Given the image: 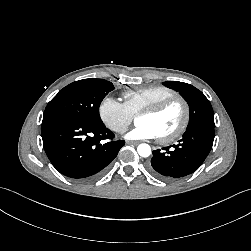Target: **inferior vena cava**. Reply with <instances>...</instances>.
<instances>
[{
    "mask_svg": "<svg viewBox=\"0 0 251 251\" xmlns=\"http://www.w3.org/2000/svg\"><path fill=\"white\" fill-rule=\"evenodd\" d=\"M126 131V129H123V132H125Z\"/></svg>",
    "mask_w": 251,
    "mask_h": 251,
    "instance_id": "602c4592",
    "label": "inferior vena cava"
}]
</instances>
